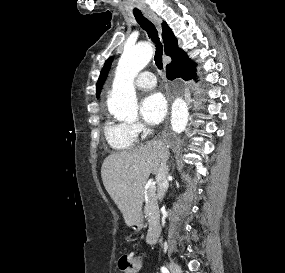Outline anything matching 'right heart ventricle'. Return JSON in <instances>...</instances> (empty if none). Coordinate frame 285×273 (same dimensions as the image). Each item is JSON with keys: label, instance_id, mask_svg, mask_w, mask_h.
Returning a JSON list of instances; mask_svg holds the SVG:
<instances>
[{"label": "right heart ventricle", "instance_id": "e07e8e85", "mask_svg": "<svg viewBox=\"0 0 285 273\" xmlns=\"http://www.w3.org/2000/svg\"><path fill=\"white\" fill-rule=\"evenodd\" d=\"M103 132L108 145L116 151L130 150L137 142V136L131 131L130 125L124 122L108 120Z\"/></svg>", "mask_w": 285, "mask_h": 273}]
</instances>
